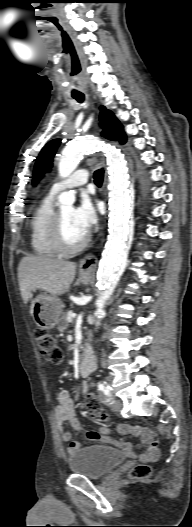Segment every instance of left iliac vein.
I'll use <instances>...</instances> for the list:
<instances>
[{"label":"left iliac vein","mask_w":192,"mask_h":527,"mask_svg":"<svg viewBox=\"0 0 192 527\" xmlns=\"http://www.w3.org/2000/svg\"><path fill=\"white\" fill-rule=\"evenodd\" d=\"M111 410L113 412H119L122 408V402L117 399H113L110 403Z\"/></svg>","instance_id":"1"}]
</instances>
